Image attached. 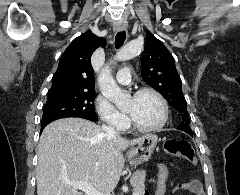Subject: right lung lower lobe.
Masks as SVG:
<instances>
[{
	"instance_id": "obj_1",
	"label": "right lung lower lobe",
	"mask_w": 240,
	"mask_h": 195,
	"mask_svg": "<svg viewBox=\"0 0 240 195\" xmlns=\"http://www.w3.org/2000/svg\"><path fill=\"white\" fill-rule=\"evenodd\" d=\"M79 118L89 119L91 121H97V118H94V117L79 116ZM49 123H51V122H49ZM49 123L43 124L41 126V132L43 131L44 127L47 126Z\"/></svg>"
}]
</instances>
